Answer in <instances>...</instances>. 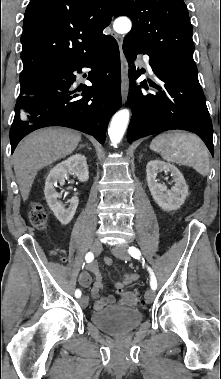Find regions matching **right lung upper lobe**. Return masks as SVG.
Returning a JSON list of instances; mask_svg holds the SVG:
<instances>
[{"instance_id":"right-lung-upper-lobe-1","label":"right lung upper lobe","mask_w":221,"mask_h":379,"mask_svg":"<svg viewBox=\"0 0 221 379\" xmlns=\"http://www.w3.org/2000/svg\"><path fill=\"white\" fill-rule=\"evenodd\" d=\"M111 0H30L21 43L20 80L49 67L80 59L109 36Z\"/></svg>"}]
</instances>
